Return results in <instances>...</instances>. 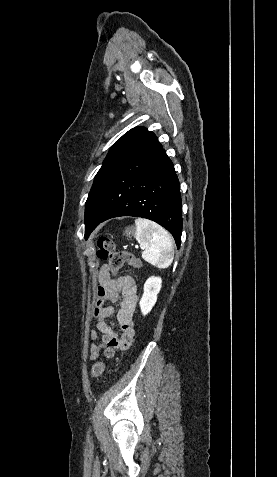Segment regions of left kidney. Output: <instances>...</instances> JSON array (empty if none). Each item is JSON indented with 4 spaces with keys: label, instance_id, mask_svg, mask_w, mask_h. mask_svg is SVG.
<instances>
[{
    "label": "left kidney",
    "instance_id": "obj_1",
    "mask_svg": "<svg viewBox=\"0 0 277 477\" xmlns=\"http://www.w3.org/2000/svg\"><path fill=\"white\" fill-rule=\"evenodd\" d=\"M162 280L160 277H149L144 284V293L140 300V308L143 315H147L157 301V295L161 289Z\"/></svg>",
    "mask_w": 277,
    "mask_h": 477
}]
</instances>
